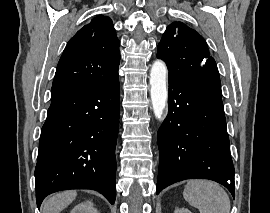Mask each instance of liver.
<instances>
[{
	"label": "liver",
	"mask_w": 270,
	"mask_h": 213,
	"mask_svg": "<svg viewBox=\"0 0 270 213\" xmlns=\"http://www.w3.org/2000/svg\"><path fill=\"white\" fill-rule=\"evenodd\" d=\"M76 196V191H64L48 197L43 203V213H60Z\"/></svg>",
	"instance_id": "liver-1"
}]
</instances>
